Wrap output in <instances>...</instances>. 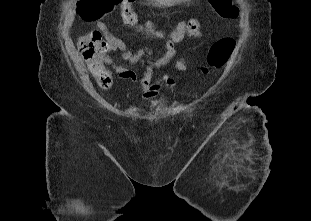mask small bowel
<instances>
[{
	"label": "small bowel",
	"instance_id": "1",
	"mask_svg": "<svg viewBox=\"0 0 311 221\" xmlns=\"http://www.w3.org/2000/svg\"><path fill=\"white\" fill-rule=\"evenodd\" d=\"M165 13H171L170 10H165ZM102 29L104 38L110 46H125L126 52L120 53L121 58L129 64L142 63V70L138 74L134 70L127 68L110 57L105 58V62L111 65L122 80H127L134 83L142 95L141 102L155 105L160 94L161 89L169 90L175 85V78L171 74H164L154 79L155 73L158 69L167 66L176 55L175 45L181 42L186 33V22H178L176 28L169 34L157 28L155 23L146 19L144 21L142 30L144 34L152 39L165 40L162 48L153 50L151 48H140L138 50L130 49L127 44L120 38L116 37L109 30H107L102 23H99ZM160 53L161 56L154 58L153 55ZM185 61L181 60L177 64L180 71L185 70Z\"/></svg>",
	"mask_w": 311,
	"mask_h": 221
}]
</instances>
